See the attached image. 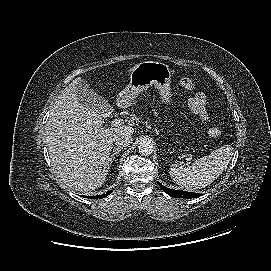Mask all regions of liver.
Segmentation results:
<instances>
[{
	"label": "liver",
	"instance_id": "obj_1",
	"mask_svg": "<svg viewBox=\"0 0 271 271\" xmlns=\"http://www.w3.org/2000/svg\"><path fill=\"white\" fill-rule=\"evenodd\" d=\"M79 81L85 80L76 78L56 99L46 126V144L52 168L63 183L87 192L100 187L106 179L113 136L121 131L131 134L133 128L102 127V115L78 101Z\"/></svg>",
	"mask_w": 271,
	"mask_h": 271
}]
</instances>
